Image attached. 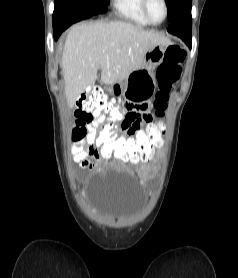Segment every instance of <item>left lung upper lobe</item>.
<instances>
[{
    "instance_id": "5c2ea615",
    "label": "left lung upper lobe",
    "mask_w": 238,
    "mask_h": 278,
    "mask_svg": "<svg viewBox=\"0 0 238 278\" xmlns=\"http://www.w3.org/2000/svg\"><path fill=\"white\" fill-rule=\"evenodd\" d=\"M169 6V22L175 19L177 14L186 6L191 4L192 0H167Z\"/></svg>"
}]
</instances>
